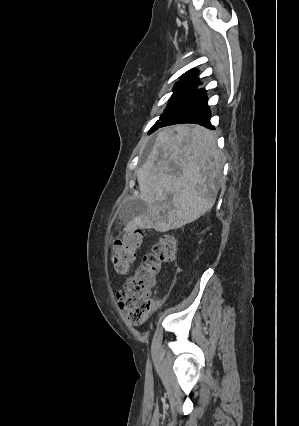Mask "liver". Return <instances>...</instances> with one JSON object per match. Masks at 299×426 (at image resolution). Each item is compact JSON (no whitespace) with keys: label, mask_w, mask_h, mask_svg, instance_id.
Returning a JSON list of instances; mask_svg holds the SVG:
<instances>
[{"label":"liver","mask_w":299,"mask_h":426,"mask_svg":"<svg viewBox=\"0 0 299 426\" xmlns=\"http://www.w3.org/2000/svg\"><path fill=\"white\" fill-rule=\"evenodd\" d=\"M171 165L179 167L177 175ZM222 167L223 155L211 131L199 125L164 128L137 172L147 212L134 217L125 230L165 232L197 220L215 203Z\"/></svg>","instance_id":"liver-1"}]
</instances>
